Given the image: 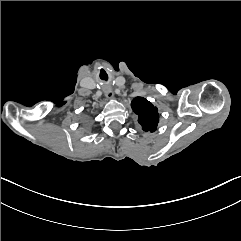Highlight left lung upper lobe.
Wrapping results in <instances>:
<instances>
[{"label": "left lung upper lobe", "mask_w": 241, "mask_h": 241, "mask_svg": "<svg viewBox=\"0 0 241 241\" xmlns=\"http://www.w3.org/2000/svg\"><path fill=\"white\" fill-rule=\"evenodd\" d=\"M133 111L138 115V122L145 132H154L158 125L159 114L157 108L142 97H136L131 103Z\"/></svg>", "instance_id": "1"}]
</instances>
